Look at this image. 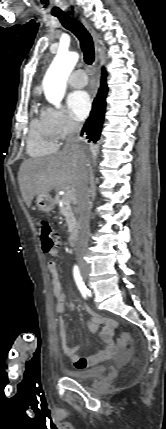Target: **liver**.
<instances>
[{
    "label": "liver",
    "instance_id": "1",
    "mask_svg": "<svg viewBox=\"0 0 166 429\" xmlns=\"http://www.w3.org/2000/svg\"><path fill=\"white\" fill-rule=\"evenodd\" d=\"M84 160L87 159L83 151L65 149L51 156L25 160L18 172V182L26 205L30 207L36 195L77 187Z\"/></svg>",
    "mask_w": 166,
    "mask_h": 429
}]
</instances>
